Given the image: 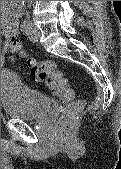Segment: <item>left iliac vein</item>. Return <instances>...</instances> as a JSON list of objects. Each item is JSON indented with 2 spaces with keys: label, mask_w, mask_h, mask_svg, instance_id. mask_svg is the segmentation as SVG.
Returning a JSON list of instances; mask_svg holds the SVG:
<instances>
[{
  "label": "left iliac vein",
  "mask_w": 121,
  "mask_h": 169,
  "mask_svg": "<svg viewBox=\"0 0 121 169\" xmlns=\"http://www.w3.org/2000/svg\"><path fill=\"white\" fill-rule=\"evenodd\" d=\"M33 42H38L41 36L40 30L31 22L30 28L26 33Z\"/></svg>",
  "instance_id": "obj_1"
}]
</instances>
